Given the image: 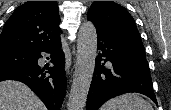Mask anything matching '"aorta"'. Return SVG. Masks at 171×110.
I'll use <instances>...</instances> for the list:
<instances>
[{
    "label": "aorta",
    "instance_id": "762f6f07",
    "mask_svg": "<svg viewBox=\"0 0 171 110\" xmlns=\"http://www.w3.org/2000/svg\"><path fill=\"white\" fill-rule=\"evenodd\" d=\"M97 55V32L92 22H84L78 32L77 60L67 110H84Z\"/></svg>",
    "mask_w": 171,
    "mask_h": 110
}]
</instances>
